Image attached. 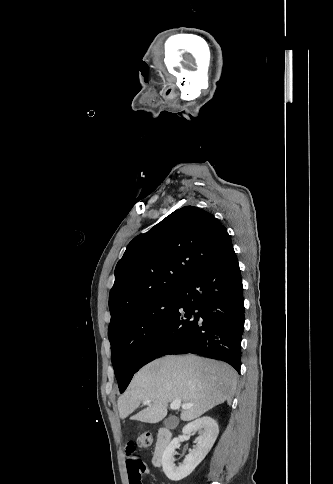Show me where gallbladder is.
I'll return each mask as SVG.
<instances>
[{"instance_id": "1", "label": "gallbladder", "mask_w": 333, "mask_h": 484, "mask_svg": "<svg viewBox=\"0 0 333 484\" xmlns=\"http://www.w3.org/2000/svg\"><path fill=\"white\" fill-rule=\"evenodd\" d=\"M176 420L177 418L175 416H169L165 421H164V426L172 429L173 427L176 426Z\"/></svg>"}]
</instances>
